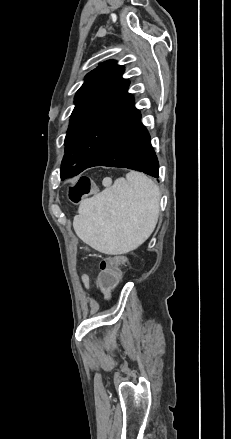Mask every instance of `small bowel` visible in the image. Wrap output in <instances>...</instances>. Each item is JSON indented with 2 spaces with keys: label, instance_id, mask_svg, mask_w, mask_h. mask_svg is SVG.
<instances>
[{
  "label": "small bowel",
  "instance_id": "c3829d8e",
  "mask_svg": "<svg viewBox=\"0 0 231 439\" xmlns=\"http://www.w3.org/2000/svg\"><path fill=\"white\" fill-rule=\"evenodd\" d=\"M83 282H84V284H85L86 286L89 285V278H88L87 275H84V276H83ZM100 283H101V282H98V280L96 279V285H97V287H99Z\"/></svg>",
  "mask_w": 231,
  "mask_h": 439
}]
</instances>
